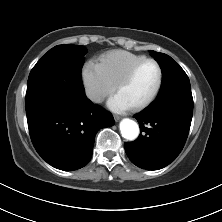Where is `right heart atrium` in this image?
<instances>
[{"instance_id": "obj_1", "label": "right heart atrium", "mask_w": 222, "mask_h": 222, "mask_svg": "<svg viewBox=\"0 0 222 222\" xmlns=\"http://www.w3.org/2000/svg\"><path fill=\"white\" fill-rule=\"evenodd\" d=\"M82 78L86 96L93 103L99 104L115 89V85L104 75L94 61L85 63Z\"/></svg>"}]
</instances>
